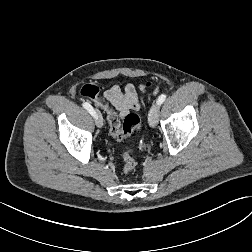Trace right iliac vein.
Segmentation results:
<instances>
[{"label": "right iliac vein", "instance_id": "1", "mask_svg": "<svg viewBox=\"0 0 252 252\" xmlns=\"http://www.w3.org/2000/svg\"><path fill=\"white\" fill-rule=\"evenodd\" d=\"M95 113H96L95 123L97 127L101 128L103 126V118L99 111H95Z\"/></svg>", "mask_w": 252, "mask_h": 252}]
</instances>
